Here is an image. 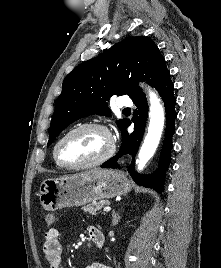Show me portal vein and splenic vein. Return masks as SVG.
Returning <instances> with one entry per match:
<instances>
[{
    "label": "portal vein and splenic vein",
    "mask_w": 221,
    "mask_h": 268,
    "mask_svg": "<svg viewBox=\"0 0 221 268\" xmlns=\"http://www.w3.org/2000/svg\"><path fill=\"white\" fill-rule=\"evenodd\" d=\"M111 210V207H105L104 212H109Z\"/></svg>",
    "instance_id": "portal-vein-and-splenic-vein-1"
}]
</instances>
